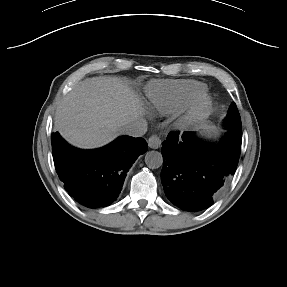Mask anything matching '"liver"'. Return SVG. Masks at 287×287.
Masks as SVG:
<instances>
[{
    "label": "liver",
    "instance_id": "liver-1",
    "mask_svg": "<svg viewBox=\"0 0 287 287\" xmlns=\"http://www.w3.org/2000/svg\"><path fill=\"white\" fill-rule=\"evenodd\" d=\"M142 106L127 83L100 76L81 81L58 105L55 129L82 149L102 147L122 134V127L140 118Z\"/></svg>",
    "mask_w": 287,
    "mask_h": 287
}]
</instances>
